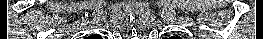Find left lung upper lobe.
<instances>
[{"label": "left lung upper lobe", "mask_w": 263, "mask_h": 39, "mask_svg": "<svg viewBox=\"0 0 263 39\" xmlns=\"http://www.w3.org/2000/svg\"><path fill=\"white\" fill-rule=\"evenodd\" d=\"M171 39H180L179 37H172Z\"/></svg>", "instance_id": "5c2ea615"}]
</instances>
